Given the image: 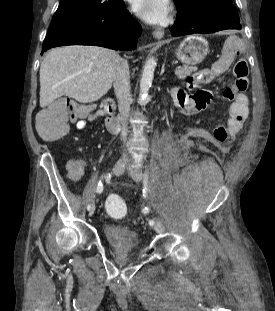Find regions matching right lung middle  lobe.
<instances>
[{
	"instance_id": "dd1d6c3e",
	"label": "right lung middle lobe",
	"mask_w": 275,
	"mask_h": 311,
	"mask_svg": "<svg viewBox=\"0 0 275 311\" xmlns=\"http://www.w3.org/2000/svg\"><path fill=\"white\" fill-rule=\"evenodd\" d=\"M120 4L121 0H60L51 26L70 19L108 12Z\"/></svg>"
}]
</instances>
